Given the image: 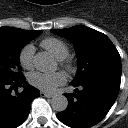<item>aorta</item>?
Wrapping results in <instances>:
<instances>
[{"label":"aorta","mask_w":128,"mask_h":128,"mask_svg":"<svg viewBox=\"0 0 128 128\" xmlns=\"http://www.w3.org/2000/svg\"><path fill=\"white\" fill-rule=\"evenodd\" d=\"M34 66L38 71L51 73L56 70L57 63L47 52H40L34 58ZM51 106L53 110L62 112L67 108L68 100L64 95H54L51 100Z\"/></svg>","instance_id":"1"}]
</instances>
